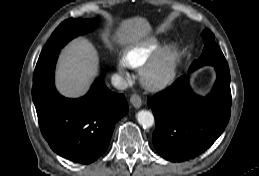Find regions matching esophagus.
Listing matches in <instances>:
<instances>
[{"label": "esophagus", "mask_w": 259, "mask_h": 176, "mask_svg": "<svg viewBox=\"0 0 259 176\" xmlns=\"http://www.w3.org/2000/svg\"><path fill=\"white\" fill-rule=\"evenodd\" d=\"M130 102H131L132 106L135 108H139L142 105V99L138 94H133L130 97Z\"/></svg>", "instance_id": "obj_1"}]
</instances>
